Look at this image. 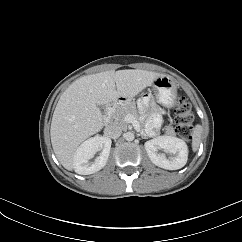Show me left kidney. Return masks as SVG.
<instances>
[{
    "instance_id": "left-kidney-1",
    "label": "left kidney",
    "mask_w": 242,
    "mask_h": 242,
    "mask_svg": "<svg viewBox=\"0 0 242 242\" xmlns=\"http://www.w3.org/2000/svg\"><path fill=\"white\" fill-rule=\"evenodd\" d=\"M145 149L150 160L158 167L167 170L182 168L188 159V147L184 140L173 136H158L145 142ZM163 150L170 155L166 157Z\"/></svg>"
}]
</instances>
